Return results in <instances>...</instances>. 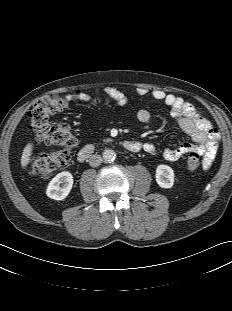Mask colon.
Returning <instances> with one entry per match:
<instances>
[{"mask_svg":"<svg viewBox=\"0 0 232 311\" xmlns=\"http://www.w3.org/2000/svg\"><path fill=\"white\" fill-rule=\"evenodd\" d=\"M84 95L81 92H75L72 98L48 95L34 103L30 112V129L34 134L35 142L55 146L58 149L34 157L30 162V173L32 175L47 176L67 165L70 161V151L75 145V137L68 127L52 123L49 118L52 114L67 108L71 101L82 100ZM186 165L189 170H196L200 165L199 156L191 154Z\"/></svg>","mask_w":232,"mask_h":311,"instance_id":"1","label":"colon"}]
</instances>
